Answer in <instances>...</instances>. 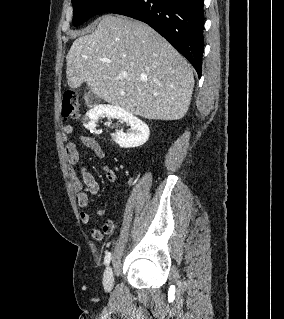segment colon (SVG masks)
I'll return each instance as SVG.
<instances>
[{
	"mask_svg": "<svg viewBox=\"0 0 284 319\" xmlns=\"http://www.w3.org/2000/svg\"><path fill=\"white\" fill-rule=\"evenodd\" d=\"M80 113V101L73 91H66L62 98L61 115L64 120L75 118Z\"/></svg>",
	"mask_w": 284,
	"mask_h": 319,
	"instance_id": "colon-1",
	"label": "colon"
}]
</instances>
